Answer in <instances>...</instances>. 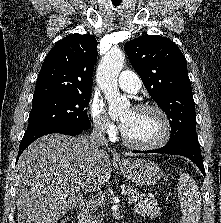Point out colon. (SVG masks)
I'll list each match as a JSON object with an SVG mask.
<instances>
[{
	"label": "colon",
	"mask_w": 221,
	"mask_h": 223,
	"mask_svg": "<svg viewBox=\"0 0 221 223\" xmlns=\"http://www.w3.org/2000/svg\"><path fill=\"white\" fill-rule=\"evenodd\" d=\"M57 223H72V221L70 219H62L58 221Z\"/></svg>",
	"instance_id": "obj_1"
}]
</instances>
